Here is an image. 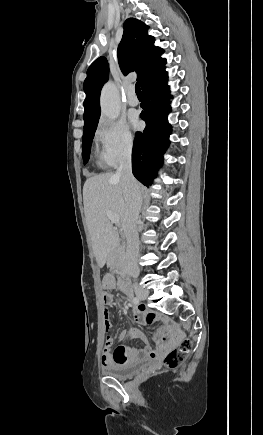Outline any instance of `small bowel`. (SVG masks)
<instances>
[{"instance_id":"obj_1","label":"small bowel","mask_w":263,"mask_h":435,"mask_svg":"<svg viewBox=\"0 0 263 435\" xmlns=\"http://www.w3.org/2000/svg\"><path fill=\"white\" fill-rule=\"evenodd\" d=\"M102 284L105 290L112 291L116 287V280L113 275L107 274L104 276ZM106 294L108 297L103 301L106 305H109L113 301V296L110 293ZM133 315L135 321L141 326L163 321V318L160 315L152 311H147L141 306H136L134 308ZM104 324L106 330H109L112 326L110 313L107 308L104 309ZM131 336L141 339L145 343V346L143 348L127 346L125 343ZM154 338L158 343L157 349L152 348L149 339L142 332L134 331L132 334H129L126 330H122L118 335V339L123 344L119 345L113 352L112 350H104L103 348V366L108 367L113 364H128L137 362L143 358L157 359L165 349L178 342L179 336L175 332H169L162 337L155 334Z\"/></svg>"}]
</instances>
